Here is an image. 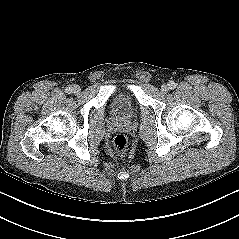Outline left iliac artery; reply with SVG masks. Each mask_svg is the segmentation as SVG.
<instances>
[{
    "label": "left iliac artery",
    "instance_id": "1",
    "mask_svg": "<svg viewBox=\"0 0 239 239\" xmlns=\"http://www.w3.org/2000/svg\"><path fill=\"white\" fill-rule=\"evenodd\" d=\"M168 85L170 89H174L176 87V84L174 81H170Z\"/></svg>",
    "mask_w": 239,
    "mask_h": 239
}]
</instances>
